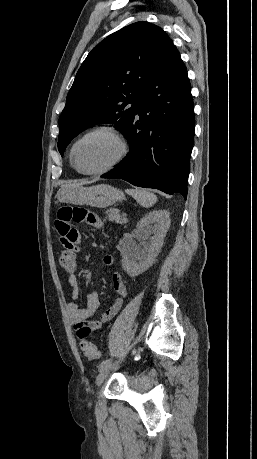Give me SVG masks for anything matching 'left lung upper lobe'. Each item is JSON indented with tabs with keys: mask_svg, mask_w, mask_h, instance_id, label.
Here are the masks:
<instances>
[{
	"mask_svg": "<svg viewBox=\"0 0 257 459\" xmlns=\"http://www.w3.org/2000/svg\"><path fill=\"white\" fill-rule=\"evenodd\" d=\"M174 47L160 27L142 21L98 44L79 68L59 118L60 154L63 156L74 137L95 124H115L124 134L136 112L140 93Z\"/></svg>",
	"mask_w": 257,
	"mask_h": 459,
	"instance_id": "1",
	"label": "left lung upper lobe"
}]
</instances>
